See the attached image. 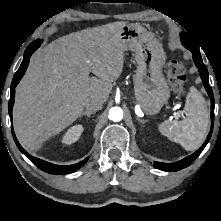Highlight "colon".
<instances>
[{"label": "colon", "mask_w": 221, "mask_h": 221, "mask_svg": "<svg viewBox=\"0 0 221 221\" xmlns=\"http://www.w3.org/2000/svg\"><path fill=\"white\" fill-rule=\"evenodd\" d=\"M185 65L179 61H172L168 66V80L175 91H181L186 79Z\"/></svg>", "instance_id": "1"}]
</instances>
